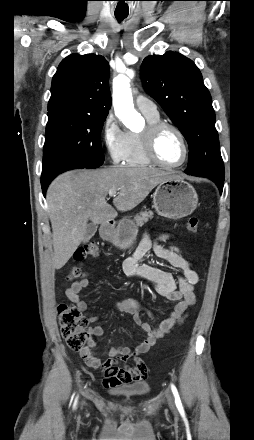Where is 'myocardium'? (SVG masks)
<instances>
[{
	"instance_id": "1",
	"label": "myocardium",
	"mask_w": 254,
	"mask_h": 440,
	"mask_svg": "<svg viewBox=\"0 0 254 440\" xmlns=\"http://www.w3.org/2000/svg\"><path fill=\"white\" fill-rule=\"evenodd\" d=\"M170 129L174 131L179 138L181 139L183 149H184V155L183 159L178 164H167L163 162L157 151V142L160 134L166 130ZM143 134V144H144V150L148 157V159L155 165L161 166L163 168L167 169H174L179 168L185 164V162L188 159L189 156V145L188 141L184 135V133L174 124L167 122V121H158L154 123H150L147 125V127L142 132Z\"/></svg>"
}]
</instances>
